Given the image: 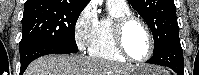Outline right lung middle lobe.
Segmentation results:
<instances>
[{"instance_id": "obj_1", "label": "right lung middle lobe", "mask_w": 199, "mask_h": 75, "mask_svg": "<svg viewBox=\"0 0 199 75\" xmlns=\"http://www.w3.org/2000/svg\"><path fill=\"white\" fill-rule=\"evenodd\" d=\"M83 9L63 4L25 5L19 48L43 41L77 52L74 30Z\"/></svg>"}]
</instances>
